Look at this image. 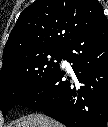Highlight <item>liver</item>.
Instances as JSON below:
<instances>
[{
  "mask_svg": "<svg viewBox=\"0 0 108 127\" xmlns=\"http://www.w3.org/2000/svg\"><path fill=\"white\" fill-rule=\"evenodd\" d=\"M16 127H63V125L45 115L32 114L21 119Z\"/></svg>",
  "mask_w": 108,
  "mask_h": 127,
  "instance_id": "1",
  "label": "liver"
}]
</instances>
